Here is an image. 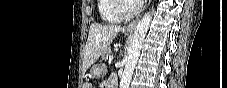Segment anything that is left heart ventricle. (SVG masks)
Here are the masks:
<instances>
[{"label":"left heart ventricle","instance_id":"b2bd125f","mask_svg":"<svg viewBox=\"0 0 227 88\" xmlns=\"http://www.w3.org/2000/svg\"><path fill=\"white\" fill-rule=\"evenodd\" d=\"M123 8L126 12H131L135 8V5L133 4V2H130V1L124 2Z\"/></svg>","mask_w":227,"mask_h":88}]
</instances>
